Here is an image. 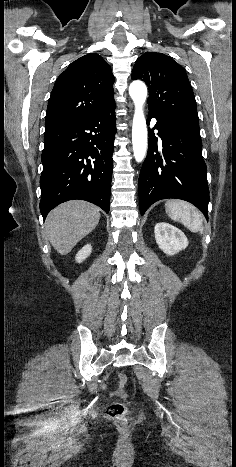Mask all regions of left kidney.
Returning a JSON list of instances; mask_svg holds the SVG:
<instances>
[{
    "mask_svg": "<svg viewBox=\"0 0 236 467\" xmlns=\"http://www.w3.org/2000/svg\"><path fill=\"white\" fill-rule=\"evenodd\" d=\"M155 240L159 248L172 256L188 246L185 234L171 224L160 222L154 228Z\"/></svg>",
    "mask_w": 236,
    "mask_h": 467,
    "instance_id": "left-kidney-1",
    "label": "left kidney"
}]
</instances>
